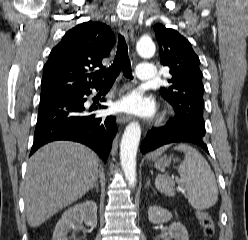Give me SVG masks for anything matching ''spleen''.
Returning a JSON list of instances; mask_svg holds the SVG:
<instances>
[{"instance_id":"3e777b00","label":"spleen","mask_w":248,"mask_h":240,"mask_svg":"<svg viewBox=\"0 0 248 240\" xmlns=\"http://www.w3.org/2000/svg\"><path fill=\"white\" fill-rule=\"evenodd\" d=\"M175 149L185 154L178 168L180 179L174 180L168 175H158L155 179L157 190L167 196H174L175 182H178L195 209H208L215 205L218 200V187L206 159L196 149L186 144H179Z\"/></svg>"}]
</instances>
